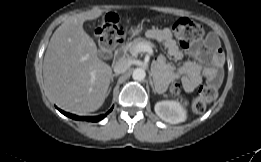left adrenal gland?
<instances>
[{
    "label": "left adrenal gland",
    "mask_w": 261,
    "mask_h": 162,
    "mask_svg": "<svg viewBox=\"0 0 261 162\" xmlns=\"http://www.w3.org/2000/svg\"><path fill=\"white\" fill-rule=\"evenodd\" d=\"M150 84H151V87H152L153 91L155 92V89H154V86H153V82L150 81Z\"/></svg>",
    "instance_id": "1"
}]
</instances>
